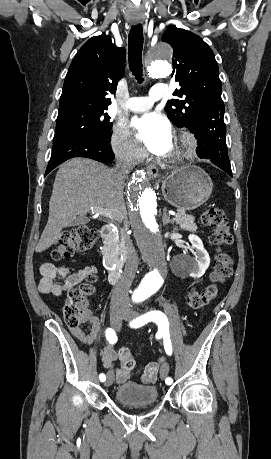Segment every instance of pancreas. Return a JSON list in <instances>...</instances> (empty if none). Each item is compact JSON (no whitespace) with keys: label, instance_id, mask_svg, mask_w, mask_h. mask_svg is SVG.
<instances>
[{"label":"pancreas","instance_id":"1","mask_svg":"<svg viewBox=\"0 0 271 459\" xmlns=\"http://www.w3.org/2000/svg\"><path fill=\"white\" fill-rule=\"evenodd\" d=\"M178 212H180L182 216L174 218L176 224H180L181 228L187 229V231H196L197 226L196 224H194L195 222L194 216H186L184 210H177V213ZM119 245H120L119 233H114V239L112 243H109L107 247H104V249H102L103 255H105L106 257V255H109V253H112V251L116 255H119L121 253V250L119 249Z\"/></svg>","mask_w":271,"mask_h":459}]
</instances>
